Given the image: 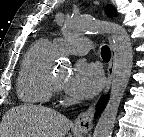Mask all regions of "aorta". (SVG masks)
Wrapping results in <instances>:
<instances>
[{
  "instance_id": "762f6f07",
  "label": "aorta",
  "mask_w": 144,
  "mask_h": 137,
  "mask_svg": "<svg viewBox=\"0 0 144 137\" xmlns=\"http://www.w3.org/2000/svg\"><path fill=\"white\" fill-rule=\"evenodd\" d=\"M109 30L114 43V66L108 103L95 127L93 137H111L120 102L128 85L133 64L131 40L126 30L112 22L91 18L66 19L63 32L66 36H77L82 32H102Z\"/></svg>"
}]
</instances>
